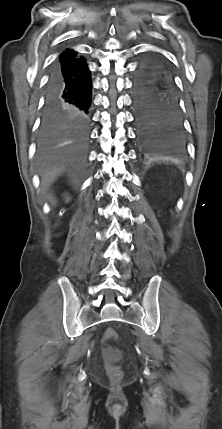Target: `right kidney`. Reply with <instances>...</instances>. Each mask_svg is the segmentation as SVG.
<instances>
[{
	"label": "right kidney",
	"mask_w": 222,
	"mask_h": 429,
	"mask_svg": "<svg viewBox=\"0 0 222 429\" xmlns=\"http://www.w3.org/2000/svg\"><path fill=\"white\" fill-rule=\"evenodd\" d=\"M65 199L68 201L70 198H69V196H67V195H66V196H65Z\"/></svg>",
	"instance_id": "1"
}]
</instances>
